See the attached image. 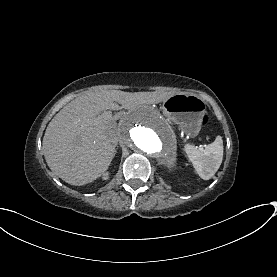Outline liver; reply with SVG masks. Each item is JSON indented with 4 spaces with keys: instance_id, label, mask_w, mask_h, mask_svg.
Returning <instances> with one entry per match:
<instances>
[{
    "instance_id": "1",
    "label": "liver",
    "mask_w": 277,
    "mask_h": 277,
    "mask_svg": "<svg viewBox=\"0 0 277 277\" xmlns=\"http://www.w3.org/2000/svg\"><path fill=\"white\" fill-rule=\"evenodd\" d=\"M172 94L166 92L87 91L63 107L48 124L43 153L49 168L66 183L82 186L106 171L115 156L120 136L111 112L118 104L135 109L157 104ZM100 112H103L100 114Z\"/></svg>"
}]
</instances>
